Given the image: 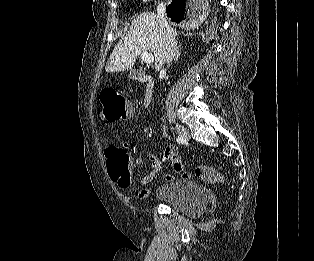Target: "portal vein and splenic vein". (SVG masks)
Here are the masks:
<instances>
[{
    "label": "portal vein and splenic vein",
    "mask_w": 314,
    "mask_h": 261,
    "mask_svg": "<svg viewBox=\"0 0 314 261\" xmlns=\"http://www.w3.org/2000/svg\"><path fill=\"white\" fill-rule=\"evenodd\" d=\"M141 58H142V61L146 63L147 65L152 64L154 62V56L148 52H142Z\"/></svg>",
    "instance_id": "18ae733b"
}]
</instances>
